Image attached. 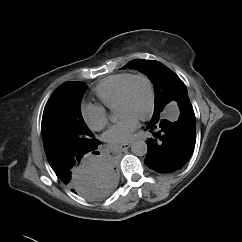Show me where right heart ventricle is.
<instances>
[{
	"instance_id": "1",
	"label": "right heart ventricle",
	"mask_w": 242,
	"mask_h": 242,
	"mask_svg": "<svg viewBox=\"0 0 242 242\" xmlns=\"http://www.w3.org/2000/svg\"><path fill=\"white\" fill-rule=\"evenodd\" d=\"M131 75L133 74L123 72L106 77L94 87L95 96L105 107L116 108L121 90Z\"/></svg>"
}]
</instances>
